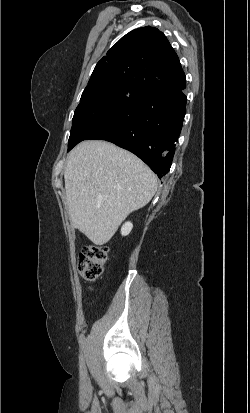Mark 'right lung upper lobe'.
Wrapping results in <instances>:
<instances>
[{
    "label": "right lung upper lobe",
    "instance_id": "obj_1",
    "mask_svg": "<svg viewBox=\"0 0 250 413\" xmlns=\"http://www.w3.org/2000/svg\"><path fill=\"white\" fill-rule=\"evenodd\" d=\"M185 82L179 58L165 35L147 26L129 32L107 52L86 88L123 85L145 93Z\"/></svg>",
    "mask_w": 250,
    "mask_h": 413
}]
</instances>
